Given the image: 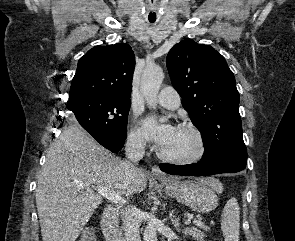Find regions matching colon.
<instances>
[{"label": "colon", "mask_w": 295, "mask_h": 241, "mask_svg": "<svg viewBox=\"0 0 295 241\" xmlns=\"http://www.w3.org/2000/svg\"><path fill=\"white\" fill-rule=\"evenodd\" d=\"M94 235L93 230L90 228H86L82 231L80 236V241H93Z\"/></svg>", "instance_id": "1"}]
</instances>
